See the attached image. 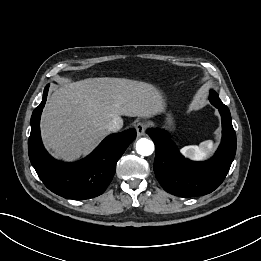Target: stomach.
<instances>
[{"label":"stomach","mask_w":261,"mask_h":261,"mask_svg":"<svg viewBox=\"0 0 261 261\" xmlns=\"http://www.w3.org/2000/svg\"><path fill=\"white\" fill-rule=\"evenodd\" d=\"M167 124L171 128L174 127V121H173V117L171 115H169L168 118H167Z\"/></svg>","instance_id":"0dacf381"}]
</instances>
